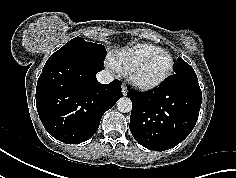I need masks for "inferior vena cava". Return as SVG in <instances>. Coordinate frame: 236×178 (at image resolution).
I'll return each mask as SVG.
<instances>
[{
  "label": "inferior vena cava",
  "mask_w": 236,
  "mask_h": 178,
  "mask_svg": "<svg viewBox=\"0 0 236 178\" xmlns=\"http://www.w3.org/2000/svg\"><path fill=\"white\" fill-rule=\"evenodd\" d=\"M97 80L102 84H108L113 81L114 77L113 74L110 73L108 70H102L97 73Z\"/></svg>",
  "instance_id": "inferior-vena-cava-1"
}]
</instances>
